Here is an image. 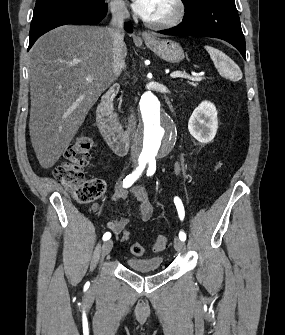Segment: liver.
Here are the masks:
<instances>
[{"label": "liver", "mask_w": 285, "mask_h": 335, "mask_svg": "<svg viewBox=\"0 0 285 335\" xmlns=\"http://www.w3.org/2000/svg\"><path fill=\"white\" fill-rule=\"evenodd\" d=\"M113 56V36L99 26H60L30 50L29 130L42 168L58 162L89 110L115 82Z\"/></svg>", "instance_id": "1"}]
</instances>
